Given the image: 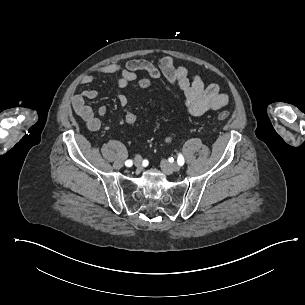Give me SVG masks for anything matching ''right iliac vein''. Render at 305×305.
Masks as SVG:
<instances>
[{
	"mask_svg": "<svg viewBox=\"0 0 305 305\" xmlns=\"http://www.w3.org/2000/svg\"><path fill=\"white\" fill-rule=\"evenodd\" d=\"M134 164L137 167V169H140L142 167V159L140 156H136L134 158Z\"/></svg>",
	"mask_w": 305,
	"mask_h": 305,
	"instance_id": "obj_1",
	"label": "right iliac vein"
}]
</instances>
